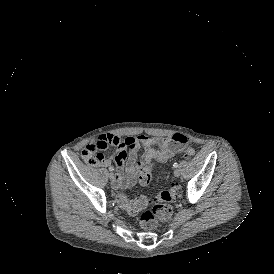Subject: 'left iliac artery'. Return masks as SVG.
Instances as JSON below:
<instances>
[{
  "label": "left iliac artery",
  "mask_w": 274,
  "mask_h": 274,
  "mask_svg": "<svg viewBox=\"0 0 274 274\" xmlns=\"http://www.w3.org/2000/svg\"><path fill=\"white\" fill-rule=\"evenodd\" d=\"M178 166H179L178 163H174V164H173V167H174V168H177Z\"/></svg>",
  "instance_id": "1"
}]
</instances>
